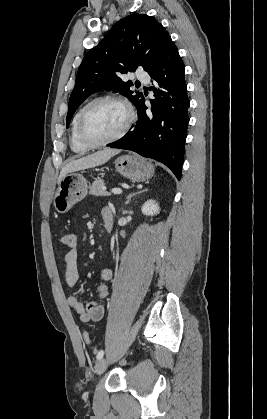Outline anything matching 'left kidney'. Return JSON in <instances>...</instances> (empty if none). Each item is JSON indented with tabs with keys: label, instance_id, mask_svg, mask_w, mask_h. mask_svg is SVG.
Segmentation results:
<instances>
[{
	"label": "left kidney",
	"instance_id": "5707ae66",
	"mask_svg": "<svg viewBox=\"0 0 267 419\" xmlns=\"http://www.w3.org/2000/svg\"><path fill=\"white\" fill-rule=\"evenodd\" d=\"M142 213L146 216H153L159 214L160 208L158 203L154 200H148L141 208Z\"/></svg>",
	"mask_w": 267,
	"mask_h": 419
}]
</instances>
